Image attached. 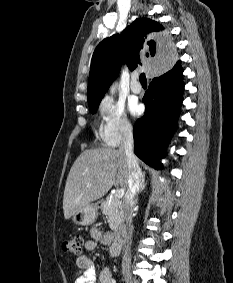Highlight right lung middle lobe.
Wrapping results in <instances>:
<instances>
[{
    "label": "right lung middle lobe",
    "instance_id": "obj_1",
    "mask_svg": "<svg viewBox=\"0 0 233 283\" xmlns=\"http://www.w3.org/2000/svg\"><path fill=\"white\" fill-rule=\"evenodd\" d=\"M99 104L89 106L91 113H96Z\"/></svg>",
    "mask_w": 233,
    "mask_h": 283
}]
</instances>
